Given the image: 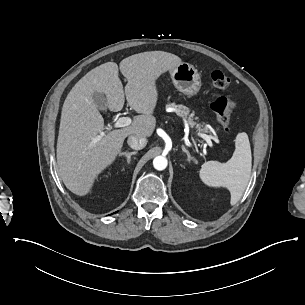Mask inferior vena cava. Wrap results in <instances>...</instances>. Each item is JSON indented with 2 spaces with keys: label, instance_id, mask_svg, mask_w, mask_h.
I'll use <instances>...</instances> for the list:
<instances>
[{
  "label": "inferior vena cava",
  "instance_id": "inferior-vena-cava-1",
  "mask_svg": "<svg viewBox=\"0 0 305 305\" xmlns=\"http://www.w3.org/2000/svg\"><path fill=\"white\" fill-rule=\"evenodd\" d=\"M127 143L130 148H132L134 150H141L146 146L147 140L144 137L137 138L134 136H129Z\"/></svg>",
  "mask_w": 305,
  "mask_h": 305
}]
</instances>
